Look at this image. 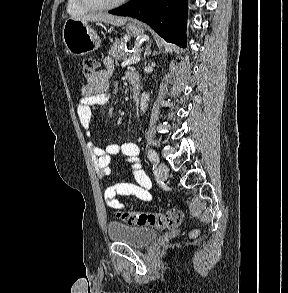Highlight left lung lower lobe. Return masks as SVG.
<instances>
[{
    "instance_id": "1",
    "label": "left lung lower lobe",
    "mask_w": 288,
    "mask_h": 293,
    "mask_svg": "<svg viewBox=\"0 0 288 293\" xmlns=\"http://www.w3.org/2000/svg\"><path fill=\"white\" fill-rule=\"evenodd\" d=\"M109 13L137 18L167 42L186 47L187 0H131Z\"/></svg>"
}]
</instances>
